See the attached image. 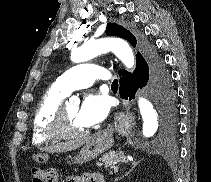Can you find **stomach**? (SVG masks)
Masks as SVG:
<instances>
[{
  "label": "stomach",
  "mask_w": 211,
  "mask_h": 182,
  "mask_svg": "<svg viewBox=\"0 0 211 182\" xmlns=\"http://www.w3.org/2000/svg\"><path fill=\"white\" fill-rule=\"evenodd\" d=\"M113 146L112 133L103 131L93 135L74 157V164H83L93 160L99 154ZM37 158L39 156H36Z\"/></svg>",
  "instance_id": "0dacf381"
}]
</instances>
